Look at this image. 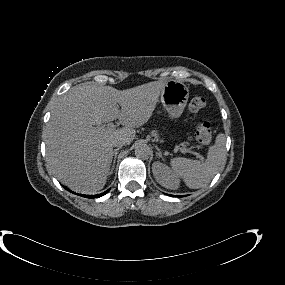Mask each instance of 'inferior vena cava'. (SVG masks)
<instances>
[{"label":"inferior vena cava","mask_w":285,"mask_h":285,"mask_svg":"<svg viewBox=\"0 0 285 285\" xmlns=\"http://www.w3.org/2000/svg\"><path fill=\"white\" fill-rule=\"evenodd\" d=\"M127 144V141L125 138H117L113 141V146L115 147H122Z\"/></svg>","instance_id":"1"}]
</instances>
